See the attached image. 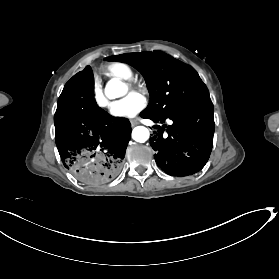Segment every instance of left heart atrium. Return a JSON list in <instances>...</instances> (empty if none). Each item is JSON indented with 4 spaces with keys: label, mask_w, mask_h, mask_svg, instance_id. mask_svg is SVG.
<instances>
[{
    "label": "left heart atrium",
    "mask_w": 279,
    "mask_h": 279,
    "mask_svg": "<svg viewBox=\"0 0 279 279\" xmlns=\"http://www.w3.org/2000/svg\"><path fill=\"white\" fill-rule=\"evenodd\" d=\"M145 105L146 101L143 96L130 93L122 100L113 103L110 113L117 118H132L142 111Z\"/></svg>",
    "instance_id": "left-heart-atrium-1"
}]
</instances>
